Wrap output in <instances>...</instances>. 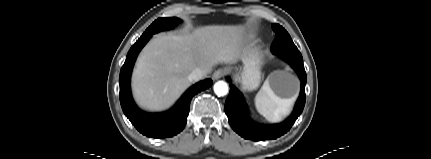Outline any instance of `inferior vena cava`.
I'll use <instances>...</instances> for the list:
<instances>
[{
	"mask_svg": "<svg viewBox=\"0 0 431 159\" xmlns=\"http://www.w3.org/2000/svg\"><path fill=\"white\" fill-rule=\"evenodd\" d=\"M207 73H208L207 70H202L200 68H196L189 74L188 80L191 82L192 81H198V80L202 79L203 77H205Z\"/></svg>",
	"mask_w": 431,
	"mask_h": 159,
	"instance_id": "inferior-vena-cava-1",
	"label": "inferior vena cava"
}]
</instances>
